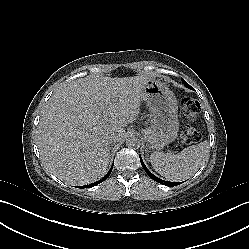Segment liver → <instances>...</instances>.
<instances>
[{
	"mask_svg": "<svg viewBox=\"0 0 249 249\" xmlns=\"http://www.w3.org/2000/svg\"><path fill=\"white\" fill-rule=\"evenodd\" d=\"M149 78L82 80L47 104L38 126L43 163L87 184L102 178L110 162V137L121 139L140 114L141 93Z\"/></svg>",
	"mask_w": 249,
	"mask_h": 249,
	"instance_id": "1",
	"label": "liver"
}]
</instances>
